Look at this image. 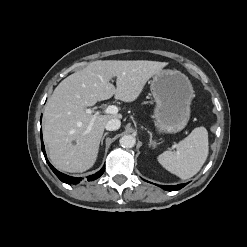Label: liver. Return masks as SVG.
<instances>
[{
	"mask_svg": "<svg viewBox=\"0 0 247 247\" xmlns=\"http://www.w3.org/2000/svg\"><path fill=\"white\" fill-rule=\"evenodd\" d=\"M167 62L147 60L94 61L55 88L43 113V138L52 164L65 172H84L96 162L106 123L121 114H94L86 108L111 98L132 102L146 82ZM116 77L115 88L110 80Z\"/></svg>",
	"mask_w": 247,
	"mask_h": 247,
	"instance_id": "liver-1",
	"label": "liver"
}]
</instances>
